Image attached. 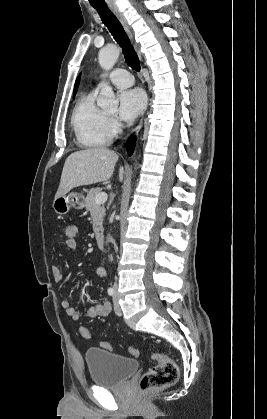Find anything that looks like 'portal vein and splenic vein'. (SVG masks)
Returning a JSON list of instances; mask_svg holds the SVG:
<instances>
[{"instance_id": "1", "label": "portal vein and splenic vein", "mask_w": 267, "mask_h": 419, "mask_svg": "<svg viewBox=\"0 0 267 419\" xmlns=\"http://www.w3.org/2000/svg\"><path fill=\"white\" fill-rule=\"evenodd\" d=\"M108 195L105 192H101L96 195V203L103 204L107 201Z\"/></svg>"}]
</instances>
